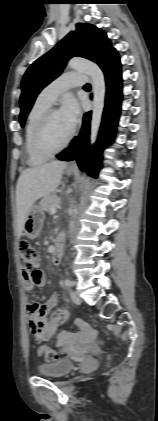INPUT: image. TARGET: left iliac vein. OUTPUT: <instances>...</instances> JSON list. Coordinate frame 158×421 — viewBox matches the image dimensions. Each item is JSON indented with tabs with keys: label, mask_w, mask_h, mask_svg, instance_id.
I'll return each instance as SVG.
<instances>
[{
	"label": "left iliac vein",
	"mask_w": 158,
	"mask_h": 421,
	"mask_svg": "<svg viewBox=\"0 0 158 421\" xmlns=\"http://www.w3.org/2000/svg\"><path fill=\"white\" fill-rule=\"evenodd\" d=\"M70 295H71L72 301L75 304H80L81 303V299L79 298V296L77 295V293L75 291H71Z\"/></svg>",
	"instance_id": "left-iliac-vein-1"
}]
</instances>
